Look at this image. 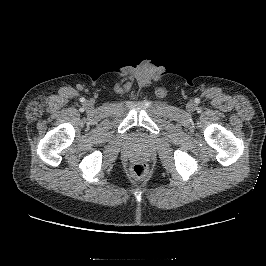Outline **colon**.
Masks as SVG:
<instances>
[{
  "mask_svg": "<svg viewBox=\"0 0 266 266\" xmlns=\"http://www.w3.org/2000/svg\"><path fill=\"white\" fill-rule=\"evenodd\" d=\"M130 172L133 178L140 180L147 176L148 167L145 163L138 161L131 166Z\"/></svg>",
  "mask_w": 266,
  "mask_h": 266,
  "instance_id": "1",
  "label": "colon"
}]
</instances>
